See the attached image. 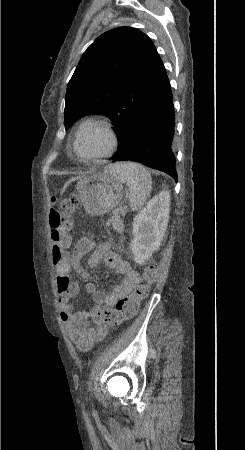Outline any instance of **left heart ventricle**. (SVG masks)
Segmentation results:
<instances>
[{
    "instance_id": "left-heart-ventricle-1",
    "label": "left heart ventricle",
    "mask_w": 245,
    "mask_h": 450,
    "mask_svg": "<svg viewBox=\"0 0 245 450\" xmlns=\"http://www.w3.org/2000/svg\"><path fill=\"white\" fill-rule=\"evenodd\" d=\"M109 146V137L103 130H90L78 142V152L82 155H95L104 152Z\"/></svg>"
}]
</instances>
